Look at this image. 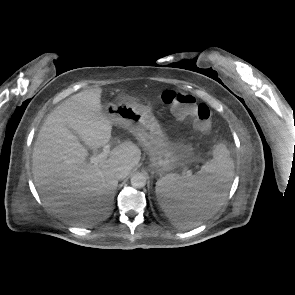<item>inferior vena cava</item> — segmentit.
Wrapping results in <instances>:
<instances>
[{
  "instance_id": "602c4592",
  "label": "inferior vena cava",
  "mask_w": 295,
  "mask_h": 295,
  "mask_svg": "<svg viewBox=\"0 0 295 295\" xmlns=\"http://www.w3.org/2000/svg\"><path fill=\"white\" fill-rule=\"evenodd\" d=\"M129 174L127 167H118L115 171V177L120 180L124 179Z\"/></svg>"
}]
</instances>
